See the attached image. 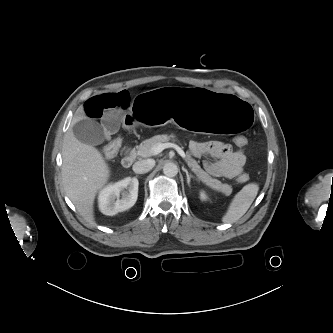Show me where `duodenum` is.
Returning <instances> with one entry per match:
<instances>
[{"label": "duodenum", "mask_w": 333, "mask_h": 333, "mask_svg": "<svg viewBox=\"0 0 333 333\" xmlns=\"http://www.w3.org/2000/svg\"><path fill=\"white\" fill-rule=\"evenodd\" d=\"M134 161H135V153L130 148H127L125 150L124 157L122 159V165L125 168H129Z\"/></svg>", "instance_id": "obj_1"}]
</instances>
